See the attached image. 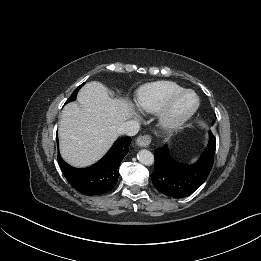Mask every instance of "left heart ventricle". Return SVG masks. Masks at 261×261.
I'll return each mask as SVG.
<instances>
[{
    "label": "left heart ventricle",
    "instance_id": "obj_1",
    "mask_svg": "<svg viewBox=\"0 0 261 261\" xmlns=\"http://www.w3.org/2000/svg\"><path fill=\"white\" fill-rule=\"evenodd\" d=\"M196 103V98L193 94H186L181 97L174 106V113L181 115L190 110Z\"/></svg>",
    "mask_w": 261,
    "mask_h": 261
}]
</instances>
